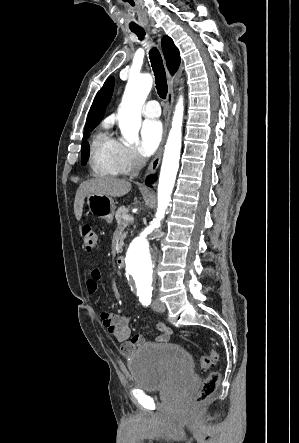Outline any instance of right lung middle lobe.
I'll return each instance as SVG.
<instances>
[{
  "instance_id": "right-lung-middle-lobe-1",
  "label": "right lung middle lobe",
  "mask_w": 299,
  "mask_h": 443,
  "mask_svg": "<svg viewBox=\"0 0 299 443\" xmlns=\"http://www.w3.org/2000/svg\"><path fill=\"white\" fill-rule=\"evenodd\" d=\"M96 126H97V124L85 127V132H84L85 137H84V139H86L88 137L89 132H91ZM89 153H90V151H89V144H88L87 141L84 140L82 142V157H81L83 165L86 163L87 159L89 158Z\"/></svg>"
}]
</instances>
